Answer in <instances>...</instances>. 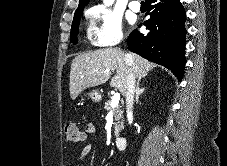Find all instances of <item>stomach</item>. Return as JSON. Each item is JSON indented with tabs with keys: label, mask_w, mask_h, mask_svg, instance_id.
Here are the masks:
<instances>
[{
	"label": "stomach",
	"mask_w": 227,
	"mask_h": 166,
	"mask_svg": "<svg viewBox=\"0 0 227 166\" xmlns=\"http://www.w3.org/2000/svg\"><path fill=\"white\" fill-rule=\"evenodd\" d=\"M82 95L84 97L91 98L95 102H99L102 99L101 93L97 90H93V91H90V92H83Z\"/></svg>",
	"instance_id": "1"
}]
</instances>
